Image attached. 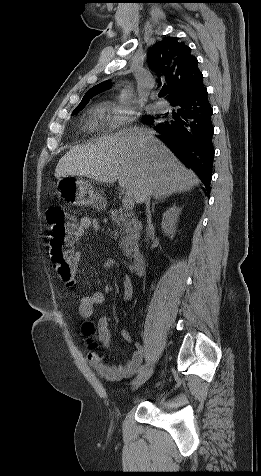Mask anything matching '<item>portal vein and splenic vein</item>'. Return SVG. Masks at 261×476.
Segmentation results:
<instances>
[{
    "label": "portal vein and splenic vein",
    "mask_w": 261,
    "mask_h": 476,
    "mask_svg": "<svg viewBox=\"0 0 261 476\" xmlns=\"http://www.w3.org/2000/svg\"><path fill=\"white\" fill-rule=\"evenodd\" d=\"M122 206L126 210H132L134 207V200L132 195L129 193H126L125 196L122 199Z\"/></svg>",
    "instance_id": "obj_1"
}]
</instances>
